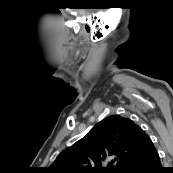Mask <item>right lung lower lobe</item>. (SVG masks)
<instances>
[{
	"label": "right lung lower lobe",
	"mask_w": 173,
	"mask_h": 173,
	"mask_svg": "<svg viewBox=\"0 0 173 173\" xmlns=\"http://www.w3.org/2000/svg\"><path fill=\"white\" fill-rule=\"evenodd\" d=\"M160 165V157L153 147L148 152L129 161L120 173H164L165 170Z\"/></svg>",
	"instance_id": "right-lung-lower-lobe-1"
}]
</instances>
